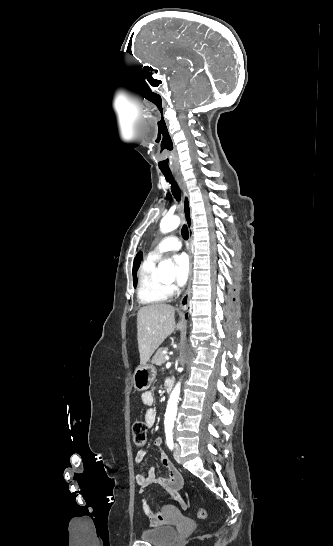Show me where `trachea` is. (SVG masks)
I'll list each match as a JSON object with an SVG mask.
<instances>
[{
    "label": "trachea",
    "instance_id": "1",
    "mask_svg": "<svg viewBox=\"0 0 333 546\" xmlns=\"http://www.w3.org/2000/svg\"><path fill=\"white\" fill-rule=\"evenodd\" d=\"M163 175L165 176L166 181L169 184H171V191H172V194L174 195L175 199L177 201H180L181 192H180V189H179L176 181L173 178V175L171 173H166V172H163ZM181 234H182V236H183V238L185 240H188L189 231H188V228H187V226L185 224L183 225V227L181 229Z\"/></svg>",
    "mask_w": 333,
    "mask_h": 546
}]
</instances>
